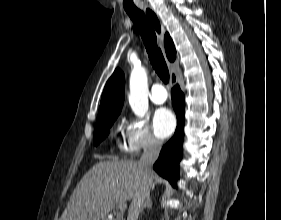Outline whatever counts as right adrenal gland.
I'll list each match as a JSON object with an SVG mask.
<instances>
[{"mask_svg": "<svg viewBox=\"0 0 281 220\" xmlns=\"http://www.w3.org/2000/svg\"><path fill=\"white\" fill-rule=\"evenodd\" d=\"M145 208H152V200L150 198V195H148L142 209H141V212L145 209Z\"/></svg>", "mask_w": 281, "mask_h": 220, "instance_id": "2a0ac1e0", "label": "right adrenal gland"}]
</instances>
